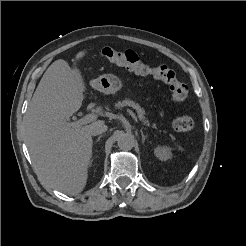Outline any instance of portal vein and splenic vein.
<instances>
[{
    "mask_svg": "<svg viewBox=\"0 0 246 246\" xmlns=\"http://www.w3.org/2000/svg\"><path fill=\"white\" fill-rule=\"evenodd\" d=\"M127 112L132 116V118L138 122V119L136 117V115L130 110V109H127ZM139 117V116H138ZM141 117V116H140ZM97 116L95 114H87L85 115L84 117H82L81 119L75 121V122H72L71 125L72 126H77V125H85L87 123H90L94 120H96Z\"/></svg>",
    "mask_w": 246,
    "mask_h": 246,
    "instance_id": "obj_1",
    "label": "portal vein and splenic vein"
}]
</instances>
